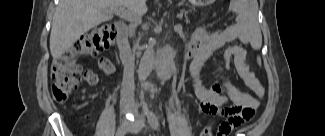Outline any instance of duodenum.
<instances>
[{"instance_id": "410a0bca", "label": "duodenum", "mask_w": 325, "mask_h": 136, "mask_svg": "<svg viewBox=\"0 0 325 136\" xmlns=\"http://www.w3.org/2000/svg\"><path fill=\"white\" fill-rule=\"evenodd\" d=\"M114 27L115 30L117 31L118 49L124 61H127L131 53V46L127 36V25L123 22H117L114 24ZM181 52L186 58L187 53L184 52L183 50Z\"/></svg>"}]
</instances>
